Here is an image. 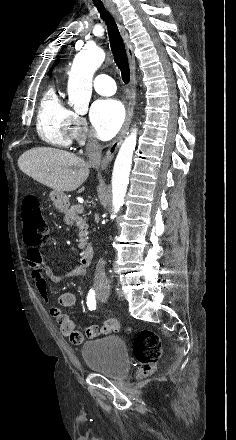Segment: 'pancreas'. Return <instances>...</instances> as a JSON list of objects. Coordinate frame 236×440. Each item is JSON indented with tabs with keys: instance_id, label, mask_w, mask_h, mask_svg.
Returning a JSON list of instances; mask_svg holds the SVG:
<instances>
[{
	"instance_id": "cf45deb5",
	"label": "pancreas",
	"mask_w": 236,
	"mask_h": 440,
	"mask_svg": "<svg viewBox=\"0 0 236 440\" xmlns=\"http://www.w3.org/2000/svg\"><path fill=\"white\" fill-rule=\"evenodd\" d=\"M77 206L78 205H74L65 212L64 221L66 224L71 226L74 225V223H76V225L79 228V233H78L79 242H80L79 248L84 249L87 244L86 236H87L88 225L86 223V218H82L79 216L80 212L77 211Z\"/></svg>"
}]
</instances>
